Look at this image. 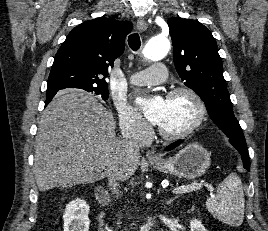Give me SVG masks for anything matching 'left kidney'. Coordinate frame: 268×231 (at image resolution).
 I'll use <instances>...</instances> for the list:
<instances>
[{"instance_id":"5707ae66","label":"left kidney","mask_w":268,"mask_h":231,"mask_svg":"<svg viewBox=\"0 0 268 231\" xmlns=\"http://www.w3.org/2000/svg\"><path fill=\"white\" fill-rule=\"evenodd\" d=\"M190 228H191V231H207V229L203 226L201 221L197 219L191 220Z\"/></svg>"}]
</instances>
